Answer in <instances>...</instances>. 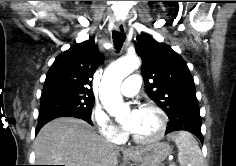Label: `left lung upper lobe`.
<instances>
[{
  "label": "left lung upper lobe",
  "instance_id": "left-lung-upper-lobe-1",
  "mask_svg": "<svg viewBox=\"0 0 236 166\" xmlns=\"http://www.w3.org/2000/svg\"><path fill=\"white\" fill-rule=\"evenodd\" d=\"M142 59V76L148 96L166 113L169 120L198 105L193 77L186 62L170 46L141 34L135 42Z\"/></svg>",
  "mask_w": 236,
  "mask_h": 166
}]
</instances>
